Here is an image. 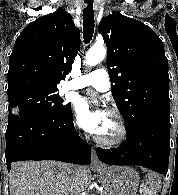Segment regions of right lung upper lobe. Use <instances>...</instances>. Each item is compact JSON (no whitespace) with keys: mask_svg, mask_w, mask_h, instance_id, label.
<instances>
[{"mask_svg":"<svg viewBox=\"0 0 178 195\" xmlns=\"http://www.w3.org/2000/svg\"><path fill=\"white\" fill-rule=\"evenodd\" d=\"M79 48V29L62 8L28 24L10 55L8 96L29 89H57L71 71Z\"/></svg>","mask_w":178,"mask_h":195,"instance_id":"1","label":"right lung upper lobe"}]
</instances>
